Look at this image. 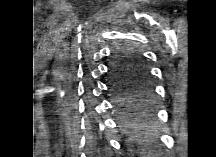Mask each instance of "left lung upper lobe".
Listing matches in <instances>:
<instances>
[{
  "instance_id": "5c2ea615",
  "label": "left lung upper lobe",
  "mask_w": 216,
  "mask_h": 157,
  "mask_svg": "<svg viewBox=\"0 0 216 157\" xmlns=\"http://www.w3.org/2000/svg\"><path fill=\"white\" fill-rule=\"evenodd\" d=\"M111 72L115 82L134 87L133 106L145 104L149 100L153 89L150 73L138 51L128 46L117 48Z\"/></svg>"
}]
</instances>
